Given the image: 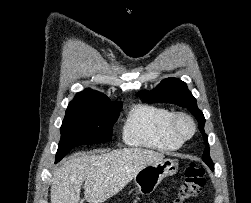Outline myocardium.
Masks as SVG:
<instances>
[{"mask_svg": "<svg viewBox=\"0 0 251 203\" xmlns=\"http://www.w3.org/2000/svg\"><path fill=\"white\" fill-rule=\"evenodd\" d=\"M184 123L188 125L187 131L182 128V124ZM171 129L177 137L185 141L192 138L193 135L195 134L196 124L190 115L184 112H178L175 113L172 118Z\"/></svg>", "mask_w": 251, "mask_h": 203, "instance_id": "1", "label": "myocardium"}]
</instances>
